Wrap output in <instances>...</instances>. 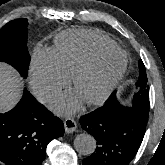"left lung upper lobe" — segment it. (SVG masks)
I'll return each mask as SVG.
<instances>
[{
    "label": "left lung upper lobe",
    "mask_w": 165,
    "mask_h": 165,
    "mask_svg": "<svg viewBox=\"0 0 165 165\" xmlns=\"http://www.w3.org/2000/svg\"><path fill=\"white\" fill-rule=\"evenodd\" d=\"M139 78H138V92L133 97V107L135 109H140L149 112V89L147 84V75L145 66L142 60L139 61ZM108 106H121L116 100L115 94H113L106 103Z\"/></svg>",
    "instance_id": "1"
}]
</instances>
